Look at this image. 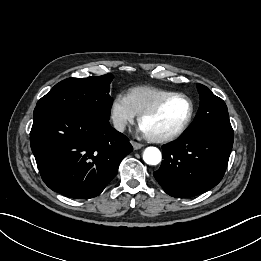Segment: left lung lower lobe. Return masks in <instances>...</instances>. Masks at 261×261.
I'll use <instances>...</instances> for the list:
<instances>
[{
	"mask_svg": "<svg viewBox=\"0 0 261 261\" xmlns=\"http://www.w3.org/2000/svg\"><path fill=\"white\" fill-rule=\"evenodd\" d=\"M233 139L232 127L183 134L162 147L164 160L154 177L176 198L204 193L223 178Z\"/></svg>",
	"mask_w": 261,
	"mask_h": 261,
	"instance_id": "1",
	"label": "left lung lower lobe"
}]
</instances>
